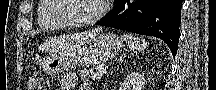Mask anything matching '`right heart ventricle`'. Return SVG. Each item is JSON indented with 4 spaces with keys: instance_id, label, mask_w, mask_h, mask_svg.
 Segmentation results:
<instances>
[{
    "instance_id": "1",
    "label": "right heart ventricle",
    "mask_w": 216,
    "mask_h": 90,
    "mask_svg": "<svg viewBox=\"0 0 216 90\" xmlns=\"http://www.w3.org/2000/svg\"><path fill=\"white\" fill-rule=\"evenodd\" d=\"M57 5L58 4H55L52 0H40V6H36V10H41V14L38 15L37 19L40 29H59L57 23L42 15L47 14L48 16H53V7H58Z\"/></svg>"
}]
</instances>
